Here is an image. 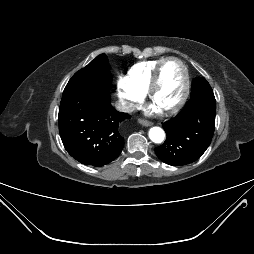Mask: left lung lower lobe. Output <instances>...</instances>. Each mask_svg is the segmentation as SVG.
I'll use <instances>...</instances> for the list:
<instances>
[{"mask_svg": "<svg viewBox=\"0 0 254 254\" xmlns=\"http://www.w3.org/2000/svg\"><path fill=\"white\" fill-rule=\"evenodd\" d=\"M216 101H188L181 112L163 123L166 141L155 148L168 165H186L199 159L211 143L215 127Z\"/></svg>", "mask_w": 254, "mask_h": 254, "instance_id": "0a47b994", "label": "left lung lower lobe"}]
</instances>
